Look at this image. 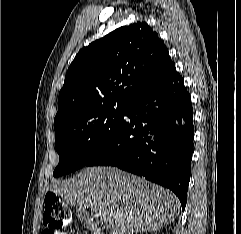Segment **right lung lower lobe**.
Instances as JSON below:
<instances>
[{"label":"right lung lower lobe","instance_id":"1","mask_svg":"<svg viewBox=\"0 0 241 234\" xmlns=\"http://www.w3.org/2000/svg\"><path fill=\"white\" fill-rule=\"evenodd\" d=\"M124 116L86 166H117L169 188L184 210L191 173L193 108L174 63L127 104Z\"/></svg>","mask_w":241,"mask_h":234}]
</instances>
